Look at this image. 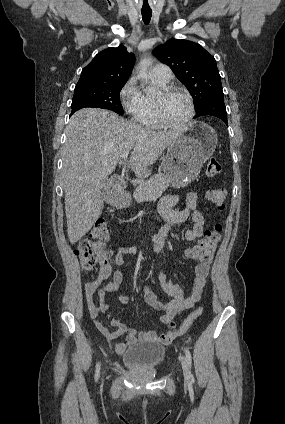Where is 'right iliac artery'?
Wrapping results in <instances>:
<instances>
[{
  "label": "right iliac artery",
  "mask_w": 285,
  "mask_h": 424,
  "mask_svg": "<svg viewBox=\"0 0 285 424\" xmlns=\"http://www.w3.org/2000/svg\"><path fill=\"white\" fill-rule=\"evenodd\" d=\"M100 375V362L96 365L95 380L97 381Z\"/></svg>",
  "instance_id": "obj_1"
}]
</instances>
